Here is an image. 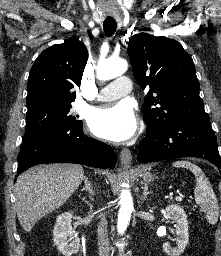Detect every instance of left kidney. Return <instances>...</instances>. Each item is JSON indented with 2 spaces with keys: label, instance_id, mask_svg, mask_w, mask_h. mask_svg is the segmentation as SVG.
Here are the masks:
<instances>
[{
  "label": "left kidney",
  "instance_id": "obj_1",
  "mask_svg": "<svg viewBox=\"0 0 221 256\" xmlns=\"http://www.w3.org/2000/svg\"><path fill=\"white\" fill-rule=\"evenodd\" d=\"M166 214L169 219H172L176 227L177 246L171 247L168 243L163 244V250L169 256L181 255L189 241L188 221L185 211L176 204L166 207Z\"/></svg>",
  "mask_w": 221,
  "mask_h": 256
}]
</instances>
